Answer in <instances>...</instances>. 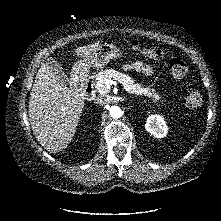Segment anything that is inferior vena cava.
Listing matches in <instances>:
<instances>
[{
	"label": "inferior vena cava",
	"mask_w": 221,
	"mask_h": 221,
	"mask_svg": "<svg viewBox=\"0 0 221 221\" xmlns=\"http://www.w3.org/2000/svg\"><path fill=\"white\" fill-rule=\"evenodd\" d=\"M104 101H103V99H102V97L100 96V97H98L97 99H96V101H95V103H97V104H102Z\"/></svg>",
	"instance_id": "602c4592"
}]
</instances>
